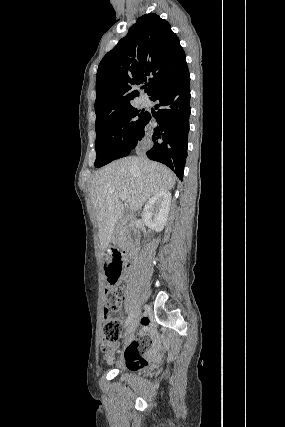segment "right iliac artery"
<instances>
[{
	"label": "right iliac artery",
	"mask_w": 285,
	"mask_h": 427,
	"mask_svg": "<svg viewBox=\"0 0 285 427\" xmlns=\"http://www.w3.org/2000/svg\"><path fill=\"white\" fill-rule=\"evenodd\" d=\"M133 317V312L130 313V315L128 316L126 322H125V326H128L132 320Z\"/></svg>",
	"instance_id": "1"
}]
</instances>
